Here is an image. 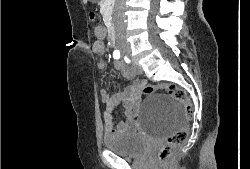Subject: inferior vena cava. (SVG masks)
Here are the masks:
<instances>
[{"label": "inferior vena cava", "mask_w": 250, "mask_h": 169, "mask_svg": "<svg viewBox=\"0 0 250 169\" xmlns=\"http://www.w3.org/2000/svg\"><path fill=\"white\" fill-rule=\"evenodd\" d=\"M124 4L125 0H115L112 20L117 32L125 30Z\"/></svg>", "instance_id": "602c4592"}]
</instances>
